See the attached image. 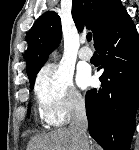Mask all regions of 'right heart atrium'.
<instances>
[{"mask_svg": "<svg viewBox=\"0 0 139 150\" xmlns=\"http://www.w3.org/2000/svg\"><path fill=\"white\" fill-rule=\"evenodd\" d=\"M35 94L40 114L50 126H61L84 110V99L73 83L72 73L50 65L39 73Z\"/></svg>", "mask_w": 139, "mask_h": 150, "instance_id": "1", "label": "right heart atrium"}]
</instances>
